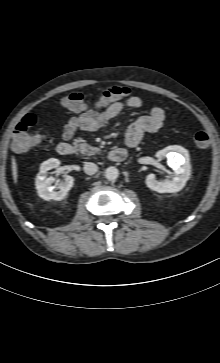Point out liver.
Returning <instances> with one entry per match:
<instances>
[{
	"label": "liver",
	"instance_id": "liver-1",
	"mask_svg": "<svg viewBox=\"0 0 220 363\" xmlns=\"http://www.w3.org/2000/svg\"><path fill=\"white\" fill-rule=\"evenodd\" d=\"M12 174H13L14 182L17 183L18 169H17V163H16L14 156L12 157Z\"/></svg>",
	"mask_w": 220,
	"mask_h": 363
}]
</instances>
